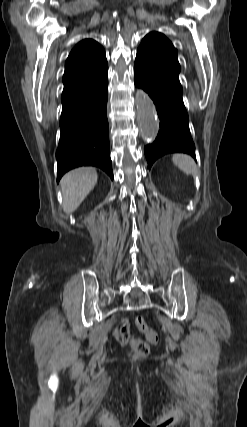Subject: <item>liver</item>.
Returning a JSON list of instances; mask_svg holds the SVG:
<instances>
[{"label": "liver", "mask_w": 247, "mask_h": 427, "mask_svg": "<svg viewBox=\"0 0 247 427\" xmlns=\"http://www.w3.org/2000/svg\"><path fill=\"white\" fill-rule=\"evenodd\" d=\"M98 175L92 167H81L66 173L61 179L63 210L74 212L97 183Z\"/></svg>", "instance_id": "6515ba94"}]
</instances>
